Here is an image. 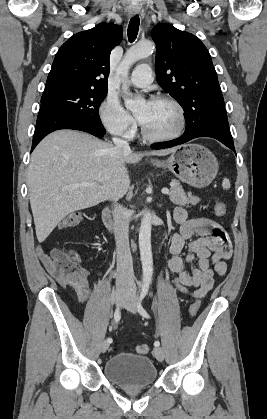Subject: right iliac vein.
I'll list each match as a JSON object with an SVG mask.
<instances>
[{"instance_id": "right-iliac-vein-1", "label": "right iliac vein", "mask_w": 267, "mask_h": 419, "mask_svg": "<svg viewBox=\"0 0 267 419\" xmlns=\"http://www.w3.org/2000/svg\"><path fill=\"white\" fill-rule=\"evenodd\" d=\"M126 296H127L126 291H119L116 294V304H117V306H120L124 302V299L126 298ZM108 347H109V343L107 341H103L102 344H101V351L103 353L106 352Z\"/></svg>"}]
</instances>
